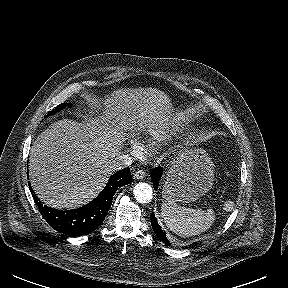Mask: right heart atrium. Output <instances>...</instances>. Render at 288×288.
I'll use <instances>...</instances> for the list:
<instances>
[{"label": "right heart atrium", "mask_w": 288, "mask_h": 288, "mask_svg": "<svg viewBox=\"0 0 288 288\" xmlns=\"http://www.w3.org/2000/svg\"><path fill=\"white\" fill-rule=\"evenodd\" d=\"M133 149H134V150H133L134 153H137L138 150H139V148H138L137 146H135Z\"/></svg>", "instance_id": "right-heart-atrium-1"}]
</instances>
